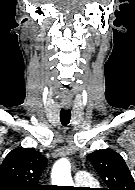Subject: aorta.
I'll list each match as a JSON object with an SVG mask.
<instances>
[{
    "mask_svg": "<svg viewBox=\"0 0 135 190\" xmlns=\"http://www.w3.org/2000/svg\"><path fill=\"white\" fill-rule=\"evenodd\" d=\"M53 183L58 186H72L73 181L70 173V163L67 159L63 158L57 161L52 171Z\"/></svg>",
    "mask_w": 135,
    "mask_h": 190,
    "instance_id": "1",
    "label": "aorta"
}]
</instances>
